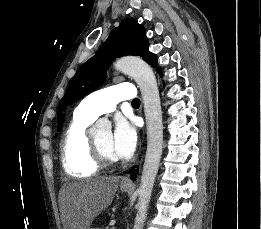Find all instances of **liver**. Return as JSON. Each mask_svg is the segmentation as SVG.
Returning a JSON list of instances; mask_svg holds the SVG:
<instances>
[{"instance_id": "liver-1", "label": "liver", "mask_w": 261, "mask_h": 229, "mask_svg": "<svg viewBox=\"0 0 261 229\" xmlns=\"http://www.w3.org/2000/svg\"><path fill=\"white\" fill-rule=\"evenodd\" d=\"M121 177H99L69 183L64 211L67 229H89L92 221L111 205Z\"/></svg>"}]
</instances>
